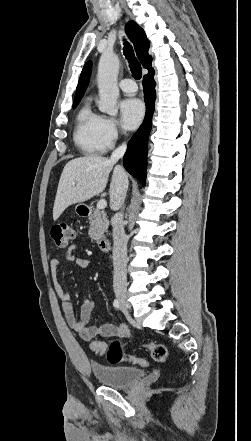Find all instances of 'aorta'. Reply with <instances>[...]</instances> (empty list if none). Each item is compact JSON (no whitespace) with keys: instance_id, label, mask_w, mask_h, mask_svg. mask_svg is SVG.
Instances as JSON below:
<instances>
[{"instance_id":"obj_1","label":"aorta","mask_w":251,"mask_h":441,"mask_svg":"<svg viewBox=\"0 0 251 441\" xmlns=\"http://www.w3.org/2000/svg\"><path fill=\"white\" fill-rule=\"evenodd\" d=\"M119 72V58L115 53H104L98 65V89L100 100L98 108L101 112L115 116L118 113L117 99L119 88L117 78Z\"/></svg>"}]
</instances>
